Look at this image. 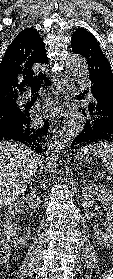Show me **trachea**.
<instances>
[{"instance_id":"trachea-1","label":"trachea","mask_w":113,"mask_h":279,"mask_svg":"<svg viewBox=\"0 0 113 279\" xmlns=\"http://www.w3.org/2000/svg\"><path fill=\"white\" fill-rule=\"evenodd\" d=\"M25 83H27L31 89H38L41 86L42 80L39 77H34L27 79Z\"/></svg>"}]
</instances>
